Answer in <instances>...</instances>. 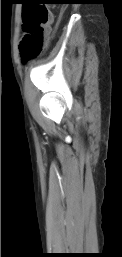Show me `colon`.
<instances>
[{
    "label": "colon",
    "instance_id": "5ec220e1",
    "mask_svg": "<svg viewBox=\"0 0 122 257\" xmlns=\"http://www.w3.org/2000/svg\"><path fill=\"white\" fill-rule=\"evenodd\" d=\"M23 38L20 44L24 58L29 59L39 54L49 37L51 13L45 5H22Z\"/></svg>",
    "mask_w": 122,
    "mask_h": 257
}]
</instances>
